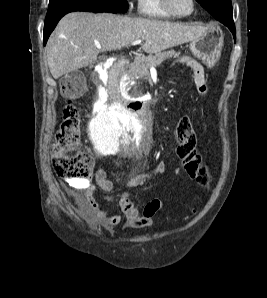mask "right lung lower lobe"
Instances as JSON below:
<instances>
[{
    "mask_svg": "<svg viewBox=\"0 0 267 298\" xmlns=\"http://www.w3.org/2000/svg\"><path fill=\"white\" fill-rule=\"evenodd\" d=\"M73 11H88V12H98L95 10H91L89 8H74V9H70L67 10L59 15H57L56 17H54L52 20L46 22L44 24V45L47 42V39L49 37V35L51 34V32L53 31V29L55 28V26L57 25L58 21L67 13L69 12H73Z\"/></svg>",
    "mask_w": 267,
    "mask_h": 298,
    "instance_id": "obj_1",
    "label": "right lung lower lobe"
}]
</instances>
